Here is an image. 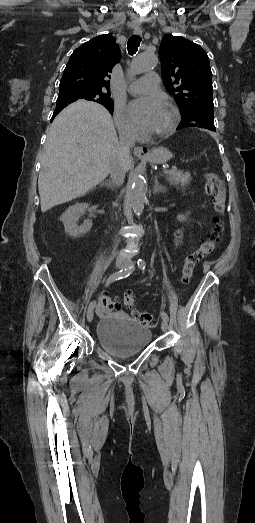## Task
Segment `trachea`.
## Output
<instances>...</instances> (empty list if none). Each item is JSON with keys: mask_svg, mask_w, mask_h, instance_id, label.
<instances>
[{"mask_svg": "<svg viewBox=\"0 0 255 523\" xmlns=\"http://www.w3.org/2000/svg\"><path fill=\"white\" fill-rule=\"evenodd\" d=\"M142 38L139 35H132L127 43V49L130 55H134L141 43Z\"/></svg>", "mask_w": 255, "mask_h": 523, "instance_id": "3493384b", "label": "trachea"}]
</instances>
